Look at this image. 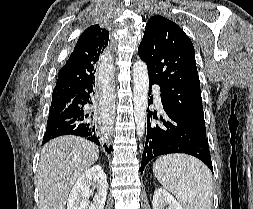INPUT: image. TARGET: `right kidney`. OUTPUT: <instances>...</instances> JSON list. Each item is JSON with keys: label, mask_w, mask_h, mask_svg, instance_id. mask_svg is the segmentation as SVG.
Instances as JSON below:
<instances>
[{"label": "right kidney", "mask_w": 253, "mask_h": 209, "mask_svg": "<svg viewBox=\"0 0 253 209\" xmlns=\"http://www.w3.org/2000/svg\"><path fill=\"white\" fill-rule=\"evenodd\" d=\"M91 186L97 188V193L93 203L88 204L87 198L92 193ZM107 190V176L100 165H95L77 179L69 194L67 209H104Z\"/></svg>", "instance_id": "ca27d5eb"}]
</instances>
